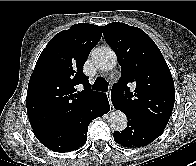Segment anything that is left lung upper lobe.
Instances as JSON below:
<instances>
[{
    "mask_svg": "<svg viewBox=\"0 0 196 166\" xmlns=\"http://www.w3.org/2000/svg\"><path fill=\"white\" fill-rule=\"evenodd\" d=\"M103 33L121 66V78L111 91L112 104L125 115L165 129L175 88L159 48L143 30L124 23H110ZM131 84L136 86L134 92H130Z\"/></svg>",
    "mask_w": 196,
    "mask_h": 166,
    "instance_id": "1",
    "label": "left lung upper lobe"
}]
</instances>
